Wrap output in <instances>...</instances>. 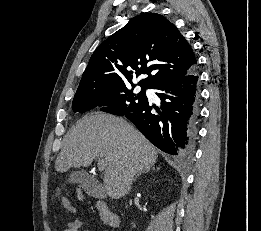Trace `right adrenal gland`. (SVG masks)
<instances>
[{
    "mask_svg": "<svg viewBox=\"0 0 261 231\" xmlns=\"http://www.w3.org/2000/svg\"><path fill=\"white\" fill-rule=\"evenodd\" d=\"M150 170H155V167L152 166V167H150V168H148V169H145V170L140 171L139 173L136 174V176H135V178L133 179V181L135 182L136 179L138 178V176H140L142 173H146V172H148V171H150ZM156 170H159V168H157Z\"/></svg>",
    "mask_w": 261,
    "mask_h": 231,
    "instance_id": "1",
    "label": "right adrenal gland"
}]
</instances>
